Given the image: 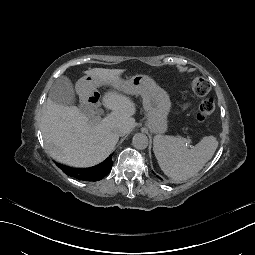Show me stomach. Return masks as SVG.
<instances>
[{"instance_id": "obj_1", "label": "stomach", "mask_w": 255, "mask_h": 255, "mask_svg": "<svg viewBox=\"0 0 255 255\" xmlns=\"http://www.w3.org/2000/svg\"><path fill=\"white\" fill-rule=\"evenodd\" d=\"M126 91L130 94H140L144 98L143 107L147 114L144 127L156 135L166 132L167 113L170 108L167 92L154 84L149 76L142 74L132 77L127 84Z\"/></svg>"}]
</instances>
